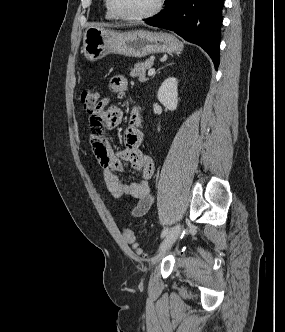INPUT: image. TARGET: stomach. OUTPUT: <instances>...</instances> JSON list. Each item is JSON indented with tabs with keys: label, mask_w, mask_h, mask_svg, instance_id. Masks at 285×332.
Masks as SVG:
<instances>
[{
	"label": "stomach",
	"mask_w": 285,
	"mask_h": 332,
	"mask_svg": "<svg viewBox=\"0 0 285 332\" xmlns=\"http://www.w3.org/2000/svg\"><path fill=\"white\" fill-rule=\"evenodd\" d=\"M182 48V43L166 32H114L88 27L83 34L81 52L87 60L97 61L110 53L141 58L154 53L179 52Z\"/></svg>",
	"instance_id": "obj_1"
}]
</instances>
